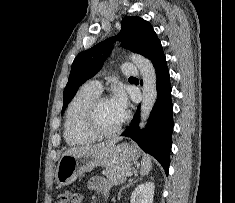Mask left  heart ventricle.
<instances>
[{"label":"left heart ventricle","instance_id":"b2bd125f","mask_svg":"<svg viewBox=\"0 0 235 203\" xmlns=\"http://www.w3.org/2000/svg\"><path fill=\"white\" fill-rule=\"evenodd\" d=\"M125 114L121 112L109 99L103 101L97 111V122L101 129L110 131L115 129L124 119Z\"/></svg>","mask_w":235,"mask_h":203}]
</instances>
